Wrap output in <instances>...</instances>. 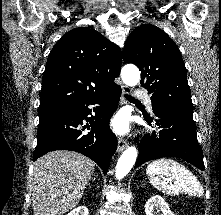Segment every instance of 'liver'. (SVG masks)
<instances>
[{
    "label": "liver",
    "instance_id": "obj_1",
    "mask_svg": "<svg viewBox=\"0 0 221 215\" xmlns=\"http://www.w3.org/2000/svg\"><path fill=\"white\" fill-rule=\"evenodd\" d=\"M95 163L73 151L56 150L34 163L31 201L34 215H63L82 198Z\"/></svg>",
    "mask_w": 221,
    "mask_h": 215
}]
</instances>
